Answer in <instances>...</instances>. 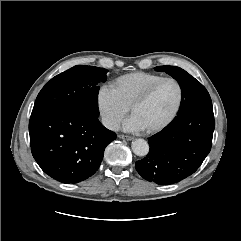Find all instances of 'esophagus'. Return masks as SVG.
I'll use <instances>...</instances> for the list:
<instances>
[{"label":"esophagus","instance_id":"esophagus-1","mask_svg":"<svg viewBox=\"0 0 241 241\" xmlns=\"http://www.w3.org/2000/svg\"><path fill=\"white\" fill-rule=\"evenodd\" d=\"M118 137H119L120 139H125V140H127V141H131V140L134 139V137H132V136L123 135V134L118 135Z\"/></svg>","mask_w":241,"mask_h":241}]
</instances>
